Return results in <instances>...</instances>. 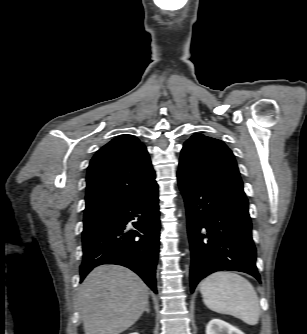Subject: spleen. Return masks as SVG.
Returning <instances> with one entry per match:
<instances>
[{
  "mask_svg": "<svg viewBox=\"0 0 307 334\" xmlns=\"http://www.w3.org/2000/svg\"><path fill=\"white\" fill-rule=\"evenodd\" d=\"M200 292L210 310L232 315L248 325L258 323L260 306L257 293L244 277L229 271L215 272L202 281Z\"/></svg>",
  "mask_w": 307,
  "mask_h": 334,
  "instance_id": "1",
  "label": "spleen"
}]
</instances>
